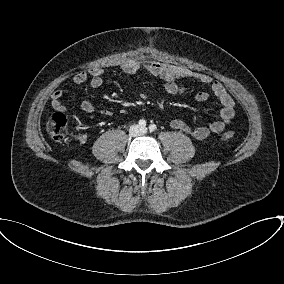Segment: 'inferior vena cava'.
<instances>
[{
  "label": "inferior vena cava",
  "instance_id": "inferior-vena-cava-1",
  "mask_svg": "<svg viewBox=\"0 0 284 284\" xmlns=\"http://www.w3.org/2000/svg\"><path fill=\"white\" fill-rule=\"evenodd\" d=\"M132 129L130 130V132H131V134H133V135H137V134H139V130H138V126H132L131 127ZM135 129H137V130H135Z\"/></svg>",
  "mask_w": 284,
  "mask_h": 284
}]
</instances>
